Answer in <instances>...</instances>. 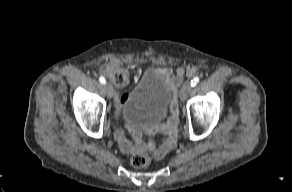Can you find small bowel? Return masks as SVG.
I'll return each mask as SVG.
<instances>
[{
  "label": "small bowel",
  "mask_w": 292,
  "mask_h": 192,
  "mask_svg": "<svg viewBox=\"0 0 292 192\" xmlns=\"http://www.w3.org/2000/svg\"><path fill=\"white\" fill-rule=\"evenodd\" d=\"M187 74L193 75L196 72L194 66L187 67ZM155 72L163 77L172 88L178 87L184 75V69L178 67L173 71L170 67L156 68ZM127 93H122L116 98L117 116L120 114V108L126 97ZM178 111L177 103L174 101L172 104V112L176 114ZM133 141L129 140L125 132L122 129H117L115 137L121 150L130 154H144L146 151H150L157 157L164 156L175 144V126L174 122L167 123L159 126L158 128H149L146 130H140L135 127H130ZM158 133L162 137V142L157 145L153 140L145 141V137H151Z\"/></svg>",
  "instance_id": "c3829d8e"
}]
</instances>
